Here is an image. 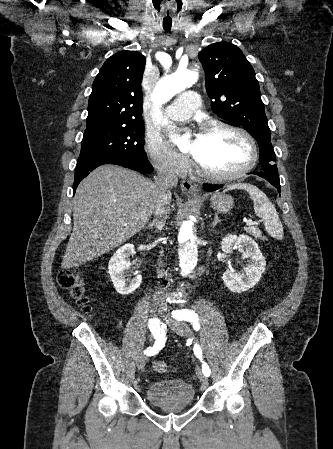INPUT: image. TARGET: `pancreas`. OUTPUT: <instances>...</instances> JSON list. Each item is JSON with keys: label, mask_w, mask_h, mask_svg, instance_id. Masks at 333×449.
Wrapping results in <instances>:
<instances>
[{"label": "pancreas", "mask_w": 333, "mask_h": 449, "mask_svg": "<svg viewBox=\"0 0 333 449\" xmlns=\"http://www.w3.org/2000/svg\"><path fill=\"white\" fill-rule=\"evenodd\" d=\"M246 231L255 238H262L261 231L257 227H247Z\"/></svg>", "instance_id": "1"}]
</instances>
